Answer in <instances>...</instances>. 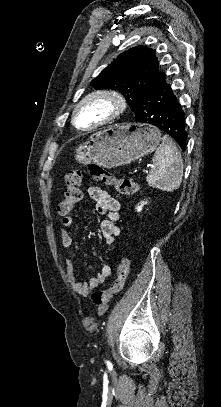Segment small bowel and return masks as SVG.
<instances>
[{"label": "small bowel", "instance_id": "1", "mask_svg": "<svg viewBox=\"0 0 221 407\" xmlns=\"http://www.w3.org/2000/svg\"><path fill=\"white\" fill-rule=\"evenodd\" d=\"M88 194L94 202L98 213L105 214L106 218L100 223V233L106 244H113L120 234L117 222L120 216V203L117 199L111 197L109 193L100 187L92 186L88 189ZM62 228L60 229V240L62 247L71 252L73 239L67 228L73 225V219L70 216H64L61 219ZM66 275L73 291L79 296H87L99 285H102L111 276V267L105 264L101 267L98 274L88 282H82L75 275V263L71 256L65 260Z\"/></svg>", "mask_w": 221, "mask_h": 407}]
</instances>
